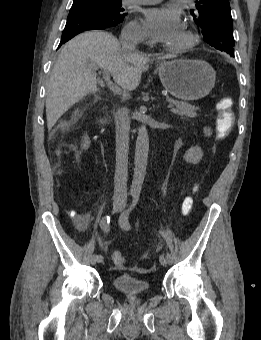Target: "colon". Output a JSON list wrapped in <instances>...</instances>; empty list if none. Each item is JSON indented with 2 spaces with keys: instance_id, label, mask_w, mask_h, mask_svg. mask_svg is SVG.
Masks as SVG:
<instances>
[{
  "instance_id": "5ec220e1",
  "label": "colon",
  "mask_w": 261,
  "mask_h": 340,
  "mask_svg": "<svg viewBox=\"0 0 261 340\" xmlns=\"http://www.w3.org/2000/svg\"><path fill=\"white\" fill-rule=\"evenodd\" d=\"M233 104V100L230 97H222L216 104V109L218 112L216 130L218 136L221 138L227 136L234 126L235 116L233 112ZM192 208L193 199L188 197L183 202V212L188 214L192 211ZM111 259L116 267H123L125 260L119 251H113L111 254Z\"/></svg>"
}]
</instances>
